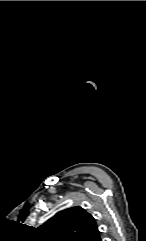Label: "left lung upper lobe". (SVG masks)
I'll return each mask as SVG.
<instances>
[{
	"label": "left lung upper lobe",
	"mask_w": 146,
	"mask_h": 241,
	"mask_svg": "<svg viewBox=\"0 0 146 241\" xmlns=\"http://www.w3.org/2000/svg\"><path fill=\"white\" fill-rule=\"evenodd\" d=\"M38 230L44 241H89L99 233L95 219L81 207L58 212Z\"/></svg>",
	"instance_id": "obj_1"
}]
</instances>
